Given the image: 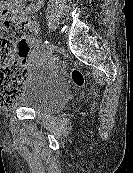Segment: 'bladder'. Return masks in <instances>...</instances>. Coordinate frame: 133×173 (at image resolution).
I'll use <instances>...</instances> for the list:
<instances>
[{"instance_id":"bladder-1","label":"bladder","mask_w":133,"mask_h":173,"mask_svg":"<svg viewBox=\"0 0 133 173\" xmlns=\"http://www.w3.org/2000/svg\"><path fill=\"white\" fill-rule=\"evenodd\" d=\"M68 94L66 81L59 73L41 68L27 76L17 105L40 114H55L66 103Z\"/></svg>"}]
</instances>
